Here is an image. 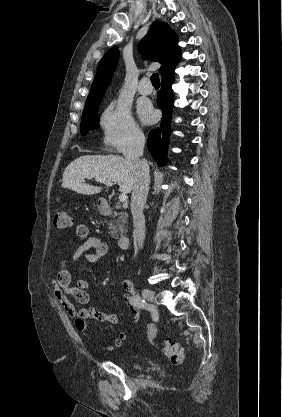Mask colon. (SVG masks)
Wrapping results in <instances>:
<instances>
[{
    "label": "colon",
    "mask_w": 282,
    "mask_h": 417,
    "mask_svg": "<svg viewBox=\"0 0 282 417\" xmlns=\"http://www.w3.org/2000/svg\"><path fill=\"white\" fill-rule=\"evenodd\" d=\"M53 225L58 229L69 228L72 225L70 210L64 206L58 207L53 213ZM157 333V325L150 323L147 327V338L149 342L156 346L171 364H183L185 359L183 346L170 340H166L162 346H158L155 344Z\"/></svg>",
    "instance_id": "1"
}]
</instances>
